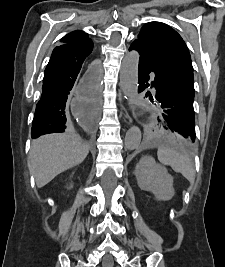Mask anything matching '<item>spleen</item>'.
Wrapping results in <instances>:
<instances>
[{
	"label": "spleen",
	"instance_id": "spleen-1",
	"mask_svg": "<svg viewBox=\"0 0 225 267\" xmlns=\"http://www.w3.org/2000/svg\"><path fill=\"white\" fill-rule=\"evenodd\" d=\"M157 156L161 164L170 166L175 172L182 174L189 182H194L195 170L188 156L180 154L173 148L163 146L158 148Z\"/></svg>",
	"mask_w": 225,
	"mask_h": 267
}]
</instances>
